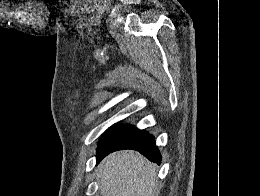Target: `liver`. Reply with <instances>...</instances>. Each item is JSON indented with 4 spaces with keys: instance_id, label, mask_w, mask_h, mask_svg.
Wrapping results in <instances>:
<instances>
[{
    "instance_id": "1",
    "label": "liver",
    "mask_w": 260,
    "mask_h": 196,
    "mask_svg": "<svg viewBox=\"0 0 260 196\" xmlns=\"http://www.w3.org/2000/svg\"><path fill=\"white\" fill-rule=\"evenodd\" d=\"M155 170L139 152H113L98 166L101 196H158Z\"/></svg>"
}]
</instances>
